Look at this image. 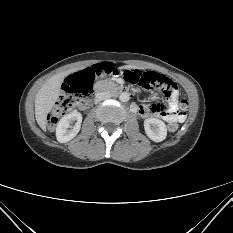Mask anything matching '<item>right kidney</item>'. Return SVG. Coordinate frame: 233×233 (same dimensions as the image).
Wrapping results in <instances>:
<instances>
[{
	"mask_svg": "<svg viewBox=\"0 0 233 233\" xmlns=\"http://www.w3.org/2000/svg\"><path fill=\"white\" fill-rule=\"evenodd\" d=\"M81 122L82 115L79 112H71L62 117L56 127L58 142L66 143L73 139L80 131Z\"/></svg>",
	"mask_w": 233,
	"mask_h": 233,
	"instance_id": "right-kidney-1",
	"label": "right kidney"
}]
</instances>
